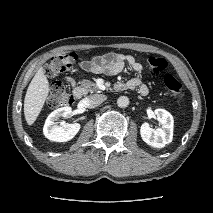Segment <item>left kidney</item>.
Listing matches in <instances>:
<instances>
[{"label": "left kidney", "mask_w": 213, "mask_h": 213, "mask_svg": "<svg viewBox=\"0 0 213 213\" xmlns=\"http://www.w3.org/2000/svg\"><path fill=\"white\" fill-rule=\"evenodd\" d=\"M154 114L157 116V120L162 124L163 129H153L148 123H144L140 128L141 138L152 147L163 148L166 144L172 142L174 126L173 116L164 109H156Z\"/></svg>", "instance_id": "5707ae66"}]
</instances>
